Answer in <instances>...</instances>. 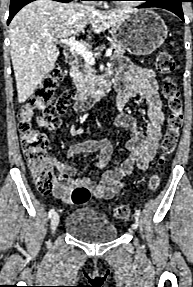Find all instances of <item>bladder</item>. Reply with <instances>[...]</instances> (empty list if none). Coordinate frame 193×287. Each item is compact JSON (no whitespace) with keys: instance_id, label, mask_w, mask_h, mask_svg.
<instances>
[{"instance_id":"obj_1","label":"bladder","mask_w":193,"mask_h":287,"mask_svg":"<svg viewBox=\"0 0 193 287\" xmlns=\"http://www.w3.org/2000/svg\"><path fill=\"white\" fill-rule=\"evenodd\" d=\"M64 228L74 238L90 243L107 242L118 236L117 227L106 216L86 208L71 212Z\"/></svg>"}]
</instances>
